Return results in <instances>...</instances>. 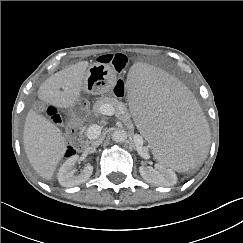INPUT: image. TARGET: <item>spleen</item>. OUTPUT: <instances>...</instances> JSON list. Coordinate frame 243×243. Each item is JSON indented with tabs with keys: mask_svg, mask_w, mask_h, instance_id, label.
Listing matches in <instances>:
<instances>
[{
	"mask_svg": "<svg viewBox=\"0 0 243 243\" xmlns=\"http://www.w3.org/2000/svg\"><path fill=\"white\" fill-rule=\"evenodd\" d=\"M128 86L136 125L156 159L174 172L191 171L210 141L197 99L174 76L150 64L136 66Z\"/></svg>",
	"mask_w": 243,
	"mask_h": 243,
	"instance_id": "spleen-1",
	"label": "spleen"
}]
</instances>
